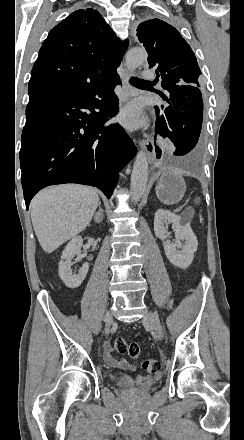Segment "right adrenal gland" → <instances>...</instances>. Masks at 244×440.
<instances>
[{
	"label": "right adrenal gland",
	"mask_w": 244,
	"mask_h": 440,
	"mask_svg": "<svg viewBox=\"0 0 244 440\" xmlns=\"http://www.w3.org/2000/svg\"><path fill=\"white\" fill-rule=\"evenodd\" d=\"M98 208H99V210H98V212H96L95 216H98V214H102V216H103L104 210H102V208H101V202H99Z\"/></svg>",
	"instance_id": "1"
}]
</instances>
